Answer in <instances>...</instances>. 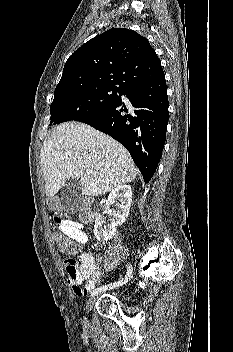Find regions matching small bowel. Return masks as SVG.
Returning <instances> with one entry per match:
<instances>
[{"mask_svg": "<svg viewBox=\"0 0 233 352\" xmlns=\"http://www.w3.org/2000/svg\"><path fill=\"white\" fill-rule=\"evenodd\" d=\"M59 229L69 238L75 240L80 245L88 242V236L84 231V226L71 219L60 220L54 216ZM100 258H96L90 253H82L78 259L69 258L65 260L64 265L68 274V284L73 293L78 297H84L92 291L101 278L99 267ZM94 266L95 270L90 274H82L79 269ZM84 282V283H83Z\"/></svg>", "mask_w": 233, "mask_h": 352, "instance_id": "1", "label": "small bowel"}]
</instances>
